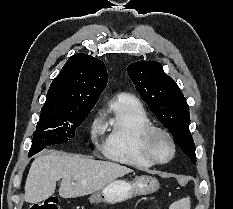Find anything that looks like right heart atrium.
Segmentation results:
<instances>
[{
  "label": "right heart atrium",
  "instance_id": "d8ad5b80",
  "mask_svg": "<svg viewBox=\"0 0 233 209\" xmlns=\"http://www.w3.org/2000/svg\"><path fill=\"white\" fill-rule=\"evenodd\" d=\"M99 129V125L97 123H94L92 127V134H96L99 131Z\"/></svg>",
  "mask_w": 233,
  "mask_h": 209
}]
</instances>
